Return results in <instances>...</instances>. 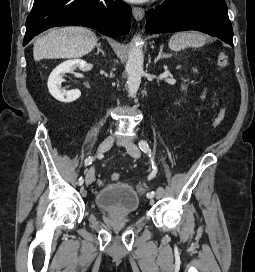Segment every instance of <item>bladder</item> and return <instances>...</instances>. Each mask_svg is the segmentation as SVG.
Here are the masks:
<instances>
[{"mask_svg": "<svg viewBox=\"0 0 255 272\" xmlns=\"http://www.w3.org/2000/svg\"><path fill=\"white\" fill-rule=\"evenodd\" d=\"M97 208L112 214L135 213L140 206V193L126 182H114L99 189L94 195Z\"/></svg>", "mask_w": 255, "mask_h": 272, "instance_id": "31cf9c89", "label": "bladder"}]
</instances>
